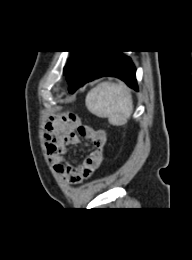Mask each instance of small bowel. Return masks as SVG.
<instances>
[{
	"label": "small bowel",
	"instance_id": "obj_1",
	"mask_svg": "<svg viewBox=\"0 0 192 260\" xmlns=\"http://www.w3.org/2000/svg\"><path fill=\"white\" fill-rule=\"evenodd\" d=\"M45 128L47 154L54 170L65 182L81 184L98 169L106 143V135L102 130L83 124L75 114L57 116ZM82 138L91 141L92 149L80 165H74L66 160L65 155L68 146L80 143Z\"/></svg>",
	"mask_w": 192,
	"mask_h": 260
}]
</instances>
